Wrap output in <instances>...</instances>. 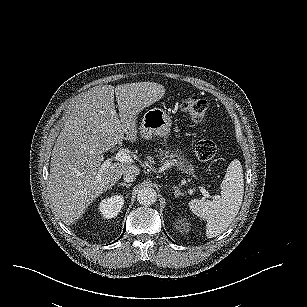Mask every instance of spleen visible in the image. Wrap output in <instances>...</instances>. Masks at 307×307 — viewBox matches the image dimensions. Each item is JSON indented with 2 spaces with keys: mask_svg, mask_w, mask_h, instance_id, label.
<instances>
[{
  "mask_svg": "<svg viewBox=\"0 0 307 307\" xmlns=\"http://www.w3.org/2000/svg\"><path fill=\"white\" fill-rule=\"evenodd\" d=\"M244 194V176L240 161L228 165L221 183V195L213 200L193 199L189 208L193 214L205 219L206 236L213 238L224 232L237 216Z\"/></svg>",
  "mask_w": 307,
  "mask_h": 307,
  "instance_id": "spleen-1",
  "label": "spleen"
}]
</instances>
